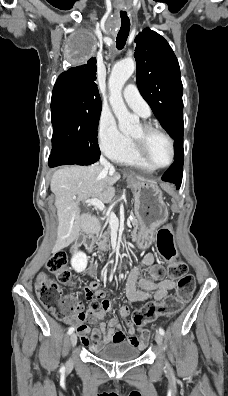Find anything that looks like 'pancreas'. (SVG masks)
Listing matches in <instances>:
<instances>
[{"instance_id":"cf45deb5","label":"pancreas","mask_w":228,"mask_h":396,"mask_svg":"<svg viewBox=\"0 0 228 396\" xmlns=\"http://www.w3.org/2000/svg\"><path fill=\"white\" fill-rule=\"evenodd\" d=\"M129 218L132 220V225L134 227L133 230V238L131 239H135L134 236H136V231H137V222H136V217L133 214L129 215ZM110 232H112V229H110V227L105 229V232L100 234L99 237V242H98V246L99 249L102 251H107L108 249H110V245H108L109 239H110ZM135 234V235H134Z\"/></svg>"}]
</instances>
